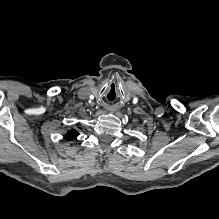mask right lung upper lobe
Returning <instances> with one entry per match:
<instances>
[{
  "mask_svg": "<svg viewBox=\"0 0 219 219\" xmlns=\"http://www.w3.org/2000/svg\"><path fill=\"white\" fill-rule=\"evenodd\" d=\"M79 135V133L76 131V130H71L69 132H67V134L65 135V137L68 139V140H74L77 138V136Z\"/></svg>",
  "mask_w": 219,
  "mask_h": 219,
  "instance_id": "1",
  "label": "right lung upper lobe"
}]
</instances>
